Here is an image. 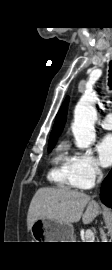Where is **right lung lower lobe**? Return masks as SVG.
<instances>
[{
	"label": "right lung lower lobe",
	"mask_w": 112,
	"mask_h": 270,
	"mask_svg": "<svg viewBox=\"0 0 112 270\" xmlns=\"http://www.w3.org/2000/svg\"><path fill=\"white\" fill-rule=\"evenodd\" d=\"M100 198L106 206L112 208V169L102 183Z\"/></svg>",
	"instance_id": "obj_1"
}]
</instances>
